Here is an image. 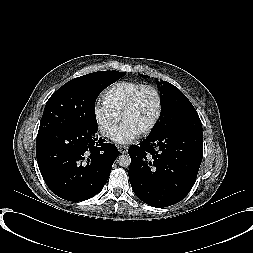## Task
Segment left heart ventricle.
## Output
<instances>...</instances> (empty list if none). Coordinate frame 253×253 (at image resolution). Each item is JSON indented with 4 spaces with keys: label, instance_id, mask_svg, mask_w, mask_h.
I'll return each instance as SVG.
<instances>
[{
    "label": "left heart ventricle",
    "instance_id": "obj_1",
    "mask_svg": "<svg viewBox=\"0 0 253 253\" xmlns=\"http://www.w3.org/2000/svg\"><path fill=\"white\" fill-rule=\"evenodd\" d=\"M157 109V98L153 91H145L138 98L134 107L125 115L123 122L139 132L152 122Z\"/></svg>",
    "mask_w": 253,
    "mask_h": 253
}]
</instances>
